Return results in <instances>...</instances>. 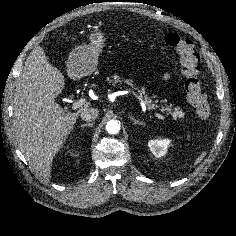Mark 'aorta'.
<instances>
[{"mask_svg": "<svg viewBox=\"0 0 236 236\" xmlns=\"http://www.w3.org/2000/svg\"><path fill=\"white\" fill-rule=\"evenodd\" d=\"M106 130L109 134H116L120 130V124L116 120H110L107 122Z\"/></svg>", "mask_w": 236, "mask_h": 236, "instance_id": "762f6f07", "label": "aorta"}]
</instances>
